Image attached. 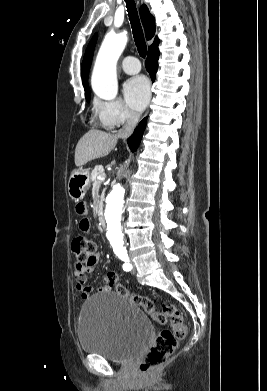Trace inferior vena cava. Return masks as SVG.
Segmentation results:
<instances>
[{"label": "inferior vena cava", "instance_id": "602c4592", "mask_svg": "<svg viewBox=\"0 0 267 391\" xmlns=\"http://www.w3.org/2000/svg\"><path fill=\"white\" fill-rule=\"evenodd\" d=\"M139 120V114L129 111L126 117V123L117 133L118 138L127 139L133 132Z\"/></svg>", "mask_w": 267, "mask_h": 391}]
</instances>
